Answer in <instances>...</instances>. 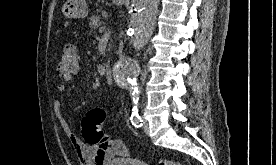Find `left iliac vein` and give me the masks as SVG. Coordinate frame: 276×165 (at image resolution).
Masks as SVG:
<instances>
[{
    "instance_id": "4c4485c4",
    "label": "left iliac vein",
    "mask_w": 276,
    "mask_h": 165,
    "mask_svg": "<svg viewBox=\"0 0 276 165\" xmlns=\"http://www.w3.org/2000/svg\"><path fill=\"white\" fill-rule=\"evenodd\" d=\"M142 125H143V129H144L145 131H148V130H149V124H148V121H147V120H144Z\"/></svg>"
}]
</instances>
